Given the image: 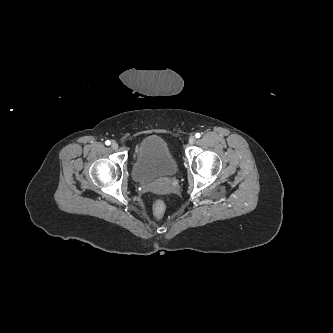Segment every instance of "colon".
Listing matches in <instances>:
<instances>
[{
	"mask_svg": "<svg viewBox=\"0 0 333 333\" xmlns=\"http://www.w3.org/2000/svg\"><path fill=\"white\" fill-rule=\"evenodd\" d=\"M165 211V204L161 200H157L153 206V213L157 218H161Z\"/></svg>",
	"mask_w": 333,
	"mask_h": 333,
	"instance_id": "1",
	"label": "colon"
}]
</instances>
